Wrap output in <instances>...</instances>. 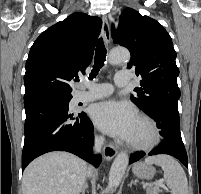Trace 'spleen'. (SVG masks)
<instances>
[{
	"label": "spleen",
	"mask_w": 201,
	"mask_h": 194,
	"mask_svg": "<svg viewBox=\"0 0 201 194\" xmlns=\"http://www.w3.org/2000/svg\"><path fill=\"white\" fill-rule=\"evenodd\" d=\"M145 163L155 164L164 171V179L172 194H188V182L181 165L169 155L147 157Z\"/></svg>",
	"instance_id": "1"
}]
</instances>
